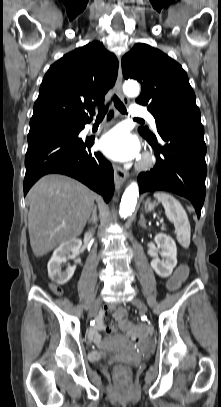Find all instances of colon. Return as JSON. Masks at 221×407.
I'll use <instances>...</instances> for the list:
<instances>
[{
	"label": "colon",
	"instance_id": "obj_1",
	"mask_svg": "<svg viewBox=\"0 0 221 407\" xmlns=\"http://www.w3.org/2000/svg\"><path fill=\"white\" fill-rule=\"evenodd\" d=\"M190 272L189 265H176L173 275L169 276V282L166 284L167 291H178L180 284H186L188 281L187 274ZM60 295L62 291H54ZM116 320L119 330H129L132 328V322L128 316V311L124 305H118L116 307ZM145 332L142 328L132 329L130 331V337L134 341L140 340L144 336ZM130 376V370L124 365H117L115 367V377L119 384L124 385L128 382Z\"/></svg>",
	"mask_w": 221,
	"mask_h": 407
}]
</instances>
